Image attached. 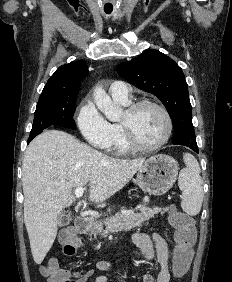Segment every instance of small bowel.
<instances>
[{"instance_id":"c3829d8e","label":"small bowel","mask_w":232,"mask_h":282,"mask_svg":"<svg viewBox=\"0 0 232 282\" xmlns=\"http://www.w3.org/2000/svg\"><path fill=\"white\" fill-rule=\"evenodd\" d=\"M132 242L146 261L150 262L155 260L159 265V272L156 277L151 274H146L143 277V282H171V275L169 272V249L167 242L158 234L153 233L148 235L146 233H134L132 235ZM57 262L54 258H52ZM111 267L110 261H100L96 263L95 269H90L85 272H76L74 274L73 282H88L95 274L100 273L94 278L93 282H110L111 277L102 272ZM63 276L69 277L70 274L67 270L61 269ZM48 282H55L48 277Z\"/></svg>"}]
</instances>
